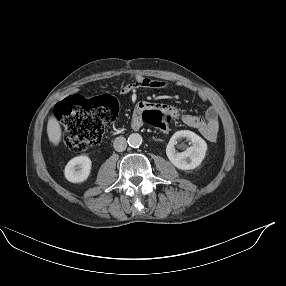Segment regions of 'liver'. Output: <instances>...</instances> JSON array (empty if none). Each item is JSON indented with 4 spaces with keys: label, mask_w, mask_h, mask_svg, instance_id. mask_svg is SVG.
I'll return each mask as SVG.
<instances>
[{
    "label": "liver",
    "mask_w": 286,
    "mask_h": 286,
    "mask_svg": "<svg viewBox=\"0 0 286 286\" xmlns=\"http://www.w3.org/2000/svg\"><path fill=\"white\" fill-rule=\"evenodd\" d=\"M47 134H48L49 141L54 146H57L60 143L61 135H62L61 127L58 121L56 120V118L53 116H51L48 120Z\"/></svg>",
    "instance_id": "1"
}]
</instances>
